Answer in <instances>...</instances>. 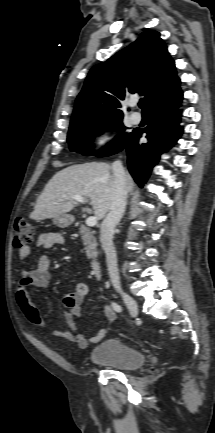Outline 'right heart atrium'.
I'll use <instances>...</instances> for the list:
<instances>
[{
	"label": "right heart atrium",
	"mask_w": 215,
	"mask_h": 433,
	"mask_svg": "<svg viewBox=\"0 0 215 433\" xmlns=\"http://www.w3.org/2000/svg\"><path fill=\"white\" fill-rule=\"evenodd\" d=\"M110 138V132L107 130H103L97 135L96 143L98 146L103 147L109 142Z\"/></svg>",
	"instance_id": "1"
}]
</instances>
